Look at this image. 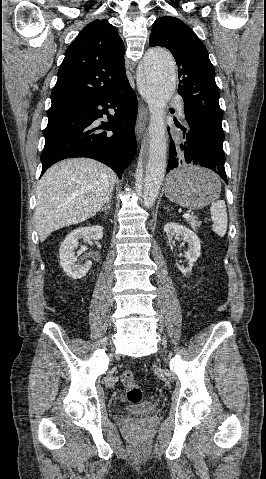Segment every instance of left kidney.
Masks as SVG:
<instances>
[{"instance_id": "left-kidney-1", "label": "left kidney", "mask_w": 266, "mask_h": 479, "mask_svg": "<svg viewBox=\"0 0 266 479\" xmlns=\"http://www.w3.org/2000/svg\"><path fill=\"white\" fill-rule=\"evenodd\" d=\"M164 231L167 235L169 243H171L173 236H181L183 241L188 243V251L185 253V257L188 261L187 266L178 267L181 273L186 276L191 273L193 264L197 261L200 257L201 251V244L200 239L198 236L190 229L183 225H179L177 223H167L164 226Z\"/></svg>"}]
</instances>
